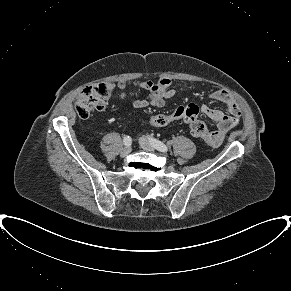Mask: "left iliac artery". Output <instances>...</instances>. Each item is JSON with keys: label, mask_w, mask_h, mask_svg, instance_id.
Segmentation results:
<instances>
[{"label": "left iliac artery", "mask_w": 291, "mask_h": 291, "mask_svg": "<svg viewBox=\"0 0 291 291\" xmlns=\"http://www.w3.org/2000/svg\"><path fill=\"white\" fill-rule=\"evenodd\" d=\"M150 142L152 143V145L160 152H167L168 151V147L162 143L161 141L150 137L149 138Z\"/></svg>", "instance_id": "44dca946"}]
</instances>
